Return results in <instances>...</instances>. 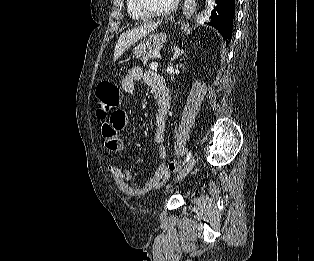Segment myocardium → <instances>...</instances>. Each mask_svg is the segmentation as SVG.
<instances>
[{
    "label": "myocardium",
    "mask_w": 314,
    "mask_h": 261,
    "mask_svg": "<svg viewBox=\"0 0 314 261\" xmlns=\"http://www.w3.org/2000/svg\"><path fill=\"white\" fill-rule=\"evenodd\" d=\"M180 0H174L166 9L156 10L151 8L145 0H136L137 7L141 12L151 17H164L170 15L178 6Z\"/></svg>",
    "instance_id": "f54148a6"
}]
</instances>
